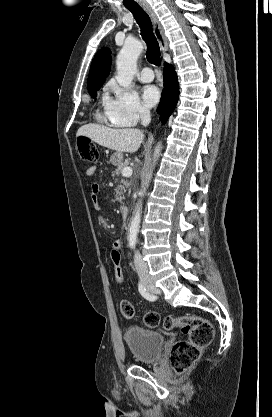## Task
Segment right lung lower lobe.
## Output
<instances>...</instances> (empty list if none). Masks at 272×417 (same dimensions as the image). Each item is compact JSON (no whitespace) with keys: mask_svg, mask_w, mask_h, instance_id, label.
<instances>
[{"mask_svg":"<svg viewBox=\"0 0 272 417\" xmlns=\"http://www.w3.org/2000/svg\"><path fill=\"white\" fill-rule=\"evenodd\" d=\"M179 96V83L173 66L165 63L164 67V89L157 112L164 124L174 111Z\"/></svg>","mask_w":272,"mask_h":417,"instance_id":"1","label":"right lung lower lobe"}]
</instances>
